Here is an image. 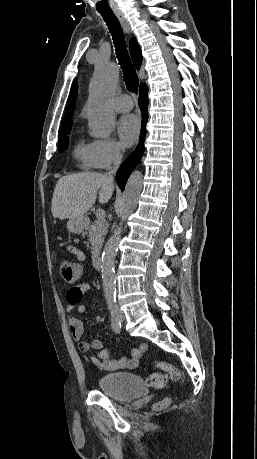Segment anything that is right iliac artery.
<instances>
[{
  "label": "right iliac artery",
  "instance_id": "82829eb1",
  "mask_svg": "<svg viewBox=\"0 0 257 459\" xmlns=\"http://www.w3.org/2000/svg\"><path fill=\"white\" fill-rule=\"evenodd\" d=\"M107 303H108V307H109L111 315H112V323H111L112 329H113V331L115 333L118 334L121 331V321H120L119 315H118L116 297H114V296L107 297Z\"/></svg>",
  "mask_w": 257,
  "mask_h": 459
}]
</instances>
